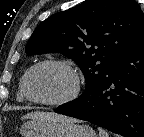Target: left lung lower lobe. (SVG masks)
<instances>
[{"label":"left lung lower lobe","instance_id":"0a47b994","mask_svg":"<svg viewBox=\"0 0 144 137\" xmlns=\"http://www.w3.org/2000/svg\"><path fill=\"white\" fill-rule=\"evenodd\" d=\"M55 112L88 121L124 137H144V28L113 61L97 86Z\"/></svg>","mask_w":144,"mask_h":137}]
</instances>
